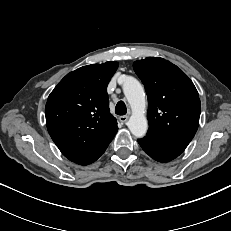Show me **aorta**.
Masks as SVG:
<instances>
[{
  "mask_svg": "<svg viewBox=\"0 0 231 231\" xmlns=\"http://www.w3.org/2000/svg\"><path fill=\"white\" fill-rule=\"evenodd\" d=\"M123 92L130 104L132 115L128 120L130 132L137 138L145 136L148 122L145 116V93L140 82L132 76H124Z\"/></svg>",
  "mask_w": 231,
  "mask_h": 231,
  "instance_id": "aorta-1",
  "label": "aorta"
}]
</instances>
